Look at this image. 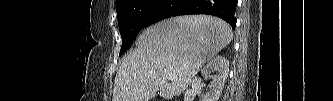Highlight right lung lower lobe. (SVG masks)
<instances>
[{"mask_svg": "<svg viewBox=\"0 0 333 101\" xmlns=\"http://www.w3.org/2000/svg\"><path fill=\"white\" fill-rule=\"evenodd\" d=\"M237 0H164L153 14L150 25L165 18L187 14H210L236 26Z\"/></svg>", "mask_w": 333, "mask_h": 101, "instance_id": "1", "label": "right lung lower lobe"}]
</instances>
